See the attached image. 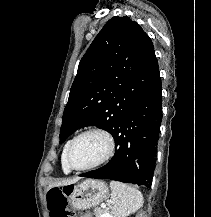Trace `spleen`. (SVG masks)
Listing matches in <instances>:
<instances>
[{
	"label": "spleen",
	"instance_id": "spleen-1",
	"mask_svg": "<svg viewBox=\"0 0 211 217\" xmlns=\"http://www.w3.org/2000/svg\"><path fill=\"white\" fill-rule=\"evenodd\" d=\"M110 188L114 217H126L143 206V196L136 188L118 181H111Z\"/></svg>",
	"mask_w": 211,
	"mask_h": 217
}]
</instances>
